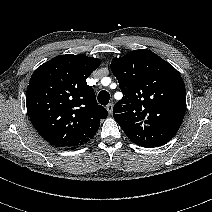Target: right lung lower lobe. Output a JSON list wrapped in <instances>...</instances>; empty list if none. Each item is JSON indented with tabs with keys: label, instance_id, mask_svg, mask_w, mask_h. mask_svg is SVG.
I'll return each instance as SVG.
<instances>
[{
	"label": "right lung lower lobe",
	"instance_id": "98d812e1",
	"mask_svg": "<svg viewBox=\"0 0 212 212\" xmlns=\"http://www.w3.org/2000/svg\"><path fill=\"white\" fill-rule=\"evenodd\" d=\"M77 147H79V146H72V147H67V148H64V149H75Z\"/></svg>",
	"mask_w": 212,
	"mask_h": 212
}]
</instances>
